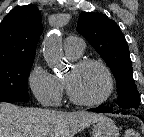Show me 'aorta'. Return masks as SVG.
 I'll list each match as a JSON object with an SVG mask.
<instances>
[{
	"label": "aorta",
	"mask_w": 144,
	"mask_h": 137,
	"mask_svg": "<svg viewBox=\"0 0 144 137\" xmlns=\"http://www.w3.org/2000/svg\"><path fill=\"white\" fill-rule=\"evenodd\" d=\"M43 56L49 67H62V39L57 33H52L49 36L45 37L43 41Z\"/></svg>",
	"instance_id": "aorta-1"
}]
</instances>
